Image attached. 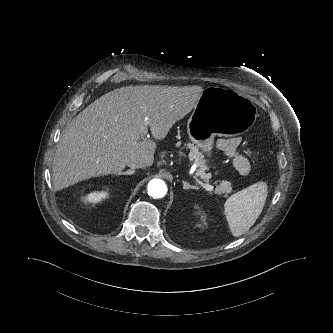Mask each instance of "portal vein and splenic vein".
I'll use <instances>...</instances> for the list:
<instances>
[{
	"label": "portal vein and splenic vein",
	"mask_w": 333,
	"mask_h": 333,
	"mask_svg": "<svg viewBox=\"0 0 333 333\" xmlns=\"http://www.w3.org/2000/svg\"><path fill=\"white\" fill-rule=\"evenodd\" d=\"M147 126H148V122L146 121L145 122V126L142 128V135H146L147 134ZM203 188L206 190V191H213L214 187L212 185H209V184H203L202 182H199Z\"/></svg>",
	"instance_id": "1"
}]
</instances>
